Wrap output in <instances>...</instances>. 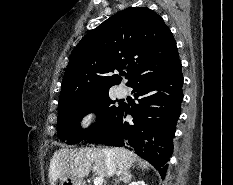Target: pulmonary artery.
<instances>
[{"label": "pulmonary artery", "mask_w": 233, "mask_h": 185, "mask_svg": "<svg viewBox=\"0 0 233 185\" xmlns=\"http://www.w3.org/2000/svg\"><path fill=\"white\" fill-rule=\"evenodd\" d=\"M117 94H118L119 97L125 96V94H126L125 88L119 87V88L117 89Z\"/></svg>", "instance_id": "e3ab8cb5"}]
</instances>
